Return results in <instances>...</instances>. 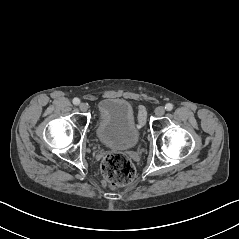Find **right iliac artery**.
<instances>
[{
    "instance_id": "82829eb1",
    "label": "right iliac artery",
    "mask_w": 239,
    "mask_h": 239,
    "mask_svg": "<svg viewBox=\"0 0 239 239\" xmlns=\"http://www.w3.org/2000/svg\"><path fill=\"white\" fill-rule=\"evenodd\" d=\"M79 103H80L79 98H74V99H73V104H74V105H78Z\"/></svg>"
}]
</instances>
